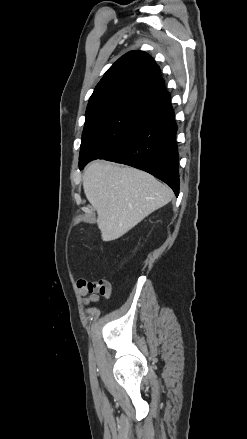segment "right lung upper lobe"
<instances>
[{"instance_id":"cb5924a9","label":"right lung upper lobe","mask_w":247,"mask_h":439,"mask_svg":"<svg viewBox=\"0 0 247 439\" xmlns=\"http://www.w3.org/2000/svg\"><path fill=\"white\" fill-rule=\"evenodd\" d=\"M109 102H128L155 113L171 102L159 66L143 51H130L104 74L89 99L87 110Z\"/></svg>"}]
</instances>
